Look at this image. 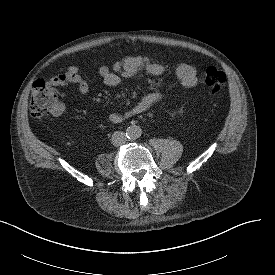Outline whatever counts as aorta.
<instances>
[{
  "label": "aorta",
  "mask_w": 275,
  "mask_h": 275,
  "mask_svg": "<svg viewBox=\"0 0 275 275\" xmlns=\"http://www.w3.org/2000/svg\"><path fill=\"white\" fill-rule=\"evenodd\" d=\"M141 134L142 130L139 126H130L126 130V136L128 139H137Z\"/></svg>",
  "instance_id": "aorta-1"
}]
</instances>
